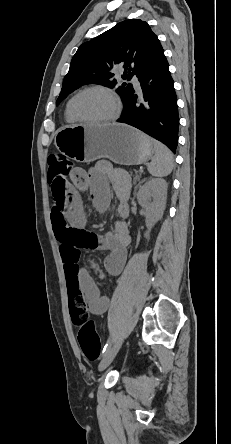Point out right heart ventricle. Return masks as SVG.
I'll list each match as a JSON object with an SVG mask.
<instances>
[{
	"instance_id": "obj_1",
	"label": "right heart ventricle",
	"mask_w": 231,
	"mask_h": 444,
	"mask_svg": "<svg viewBox=\"0 0 231 444\" xmlns=\"http://www.w3.org/2000/svg\"><path fill=\"white\" fill-rule=\"evenodd\" d=\"M73 98H74V96L71 97L67 101V104H66V107H65L64 115H65V119H66V121L68 123H77L78 122V120L73 116L72 111H71V104H72Z\"/></svg>"
}]
</instances>
